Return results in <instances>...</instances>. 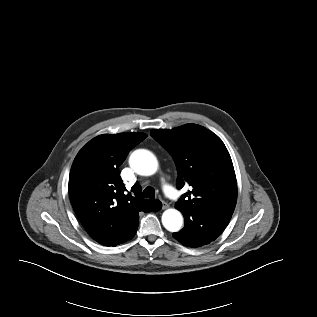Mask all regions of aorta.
<instances>
[{
    "mask_svg": "<svg viewBox=\"0 0 317 317\" xmlns=\"http://www.w3.org/2000/svg\"><path fill=\"white\" fill-rule=\"evenodd\" d=\"M129 165L137 174L150 176L157 171L158 161L150 151L138 149L130 155ZM162 224L168 231L177 232L183 224L182 214L177 209H167L162 214Z\"/></svg>",
    "mask_w": 317,
    "mask_h": 317,
    "instance_id": "obj_1",
    "label": "aorta"
}]
</instances>
